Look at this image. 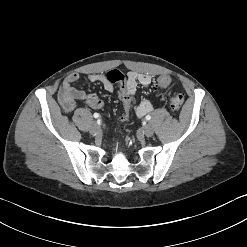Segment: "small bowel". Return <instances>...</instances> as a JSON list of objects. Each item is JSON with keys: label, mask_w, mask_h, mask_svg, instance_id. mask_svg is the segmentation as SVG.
<instances>
[{"label": "small bowel", "mask_w": 247, "mask_h": 247, "mask_svg": "<svg viewBox=\"0 0 247 247\" xmlns=\"http://www.w3.org/2000/svg\"><path fill=\"white\" fill-rule=\"evenodd\" d=\"M79 79L77 73L68 75L59 90V99L63 105L65 111L70 112L76 107V103L81 101L94 109H100L103 107V101L96 94H88L82 90L73 87ZM89 81L99 82L103 85L104 89L108 92L114 91V84L111 83L105 76L98 74H90L88 76ZM130 86V93L132 94V110L134 113L142 117L153 108L152 103L147 99L138 100L136 98L137 89L139 86L148 88L152 82V78L148 74L130 72L125 81Z\"/></svg>", "instance_id": "c3829d8e"}]
</instances>
